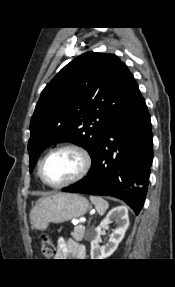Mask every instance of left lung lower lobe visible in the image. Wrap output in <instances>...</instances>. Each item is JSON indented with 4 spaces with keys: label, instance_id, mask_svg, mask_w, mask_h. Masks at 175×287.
<instances>
[{
    "label": "left lung lower lobe",
    "instance_id": "1",
    "mask_svg": "<svg viewBox=\"0 0 175 287\" xmlns=\"http://www.w3.org/2000/svg\"><path fill=\"white\" fill-rule=\"evenodd\" d=\"M152 138L150 115L138 91L130 107L110 124L87 176L62 191L116 197L138 214L148 189Z\"/></svg>",
    "mask_w": 175,
    "mask_h": 287
}]
</instances>
